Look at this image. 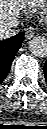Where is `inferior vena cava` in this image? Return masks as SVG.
<instances>
[{
	"label": "inferior vena cava",
	"mask_w": 47,
	"mask_h": 129,
	"mask_svg": "<svg viewBox=\"0 0 47 129\" xmlns=\"http://www.w3.org/2000/svg\"><path fill=\"white\" fill-rule=\"evenodd\" d=\"M19 25V20H15L6 25H1L0 27V39H7L16 35V27Z\"/></svg>",
	"instance_id": "602c4592"
}]
</instances>
